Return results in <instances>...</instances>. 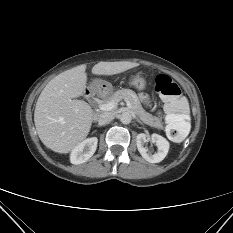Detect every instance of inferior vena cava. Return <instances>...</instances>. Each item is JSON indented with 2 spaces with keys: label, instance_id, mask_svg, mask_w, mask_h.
Listing matches in <instances>:
<instances>
[{
  "label": "inferior vena cava",
  "instance_id": "inferior-vena-cava-1",
  "mask_svg": "<svg viewBox=\"0 0 233 233\" xmlns=\"http://www.w3.org/2000/svg\"><path fill=\"white\" fill-rule=\"evenodd\" d=\"M114 118H115V114H114L113 112H104V113H101V114L98 116V122H99L100 125L108 124V123H110Z\"/></svg>",
  "mask_w": 233,
  "mask_h": 233
}]
</instances>
